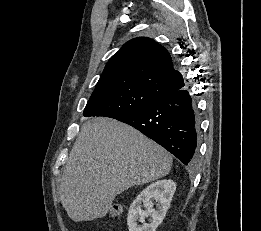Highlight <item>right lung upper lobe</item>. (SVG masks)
I'll return each mask as SVG.
<instances>
[{
  "label": "right lung upper lobe",
  "mask_w": 261,
  "mask_h": 231,
  "mask_svg": "<svg viewBox=\"0 0 261 231\" xmlns=\"http://www.w3.org/2000/svg\"><path fill=\"white\" fill-rule=\"evenodd\" d=\"M128 86L161 98L185 83L168 51L150 38L139 37L128 41L109 59L94 92Z\"/></svg>",
  "instance_id": "obj_1"
}]
</instances>
